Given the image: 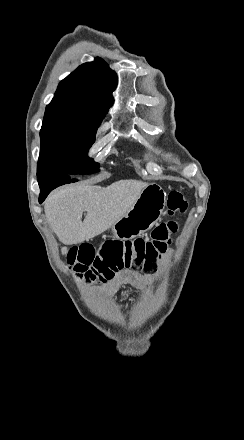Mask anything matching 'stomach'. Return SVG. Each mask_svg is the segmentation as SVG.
I'll return each instance as SVG.
<instances>
[{
	"label": "stomach",
	"instance_id": "obj_1",
	"mask_svg": "<svg viewBox=\"0 0 244 440\" xmlns=\"http://www.w3.org/2000/svg\"><path fill=\"white\" fill-rule=\"evenodd\" d=\"M166 192L158 184L143 188L129 212L113 224L111 230L116 240H133L151 230L159 222L166 204Z\"/></svg>",
	"mask_w": 244,
	"mask_h": 440
}]
</instances>
